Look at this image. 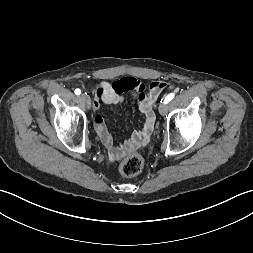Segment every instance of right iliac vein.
I'll return each mask as SVG.
<instances>
[{
  "instance_id": "obj_1",
  "label": "right iliac vein",
  "mask_w": 253,
  "mask_h": 253,
  "mask_svg": "<svg viewBox=\"0 0 253 253\" xmlns=\"http://www.w3.org/2000/svg\"><path fill=\"white\" fill-rule=\"evenodd\" d=\"M80 98L85 102L87 108L89 109L91 107V99L89 96L82 94Z\"/></svg>"
}]
</instances>
